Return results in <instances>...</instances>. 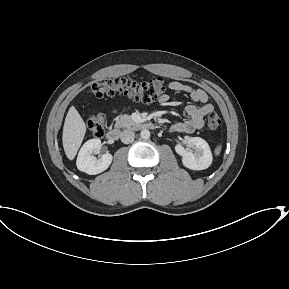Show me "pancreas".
Listing matches in <instances>:
<instances>
[{
    "label": "pancreas",
    "instance_id": "1",
    "mask_svg": "<svg viewBox=\"0 0 289 289\" xmlns=\"http://www.w3.org/2000/svg\"><path fill=\"white\" fill-rule=\"evenodd\" d=\"M135 124V122L132 120L131 116L128 114L120 115L115 123L116 127H131Z\"/></svg>",
    "mask_w": 289,
    "mask_h": 289
}]
</instances>
